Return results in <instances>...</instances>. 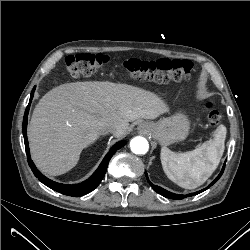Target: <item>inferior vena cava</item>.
I'll use <instances>...</instances> for the list:
<instances>
[{
	"label": "inferior vena cava",
	"mask_w": 250,
	"mask_h": 250,
	"mask_svg": "<svg viewBox=\"0 0 250 250\" xmlns=\"http://www.w3.org/2000/svg\"><path fill=\"white\" fill-rule=\"evenodd\" d=\"M119 131V127L115 124H109L105 130H104V133H112V134H115L116 132Z\"/></svg>",
	"instance_id": "602c4592"
}]
</instances>
